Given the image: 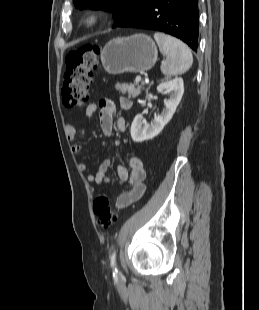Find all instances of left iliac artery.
Wrapping results in <instances>:
<instances>
[{"label": "left iliac artery", "mask_w": 259, "mask_h": 310, "mask_svg": "<svg viewBox=\"0 0 259 310\" xmlns=\"http://www.w3.org/2000/svg\"><path fill=\"white\" fill-rule=\"evenodd\" d=\"M110 264H111V267L114 268V271L117 272V268H116V251H114L112 253V255H111Z\"/></svg>", "instance_id": "1"}]
</instances>
